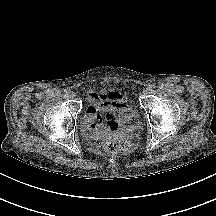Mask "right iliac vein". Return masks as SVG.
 Instances as JSON below:
<instances>
[{
    "instance_id": "1",
    "label": "right iliac vein",
    "mask_w": 216,
    "mask_h": 216,
    "mask_svg": "<svg viewBox=\"0 0 216 216\" xmlns=\"http://www.w3.org/2000/svg\"><path fill=\"white\" fill-rule=\"evenodd\" d=\"M77 94L75 92H70L69 97L70 98H75Z\"/></svg>"
}]
</instances>
